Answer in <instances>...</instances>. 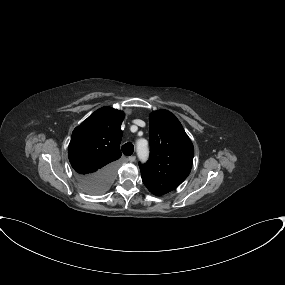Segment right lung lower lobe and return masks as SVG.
Here are the masks:
<instances>
[{"mask_svg":"<svg viewBox=\"0 0 285 285\" xmlns=\"http://www.w3.org/2000/svg\"><path fill=\"white\" fill-rule=\"evenodd\" d=\"M117 164L112 163L103 169L89 175H78L79 183L84 191L89 194H102L113 183Z\"/></svg>","mask_w":285,"mask_h":285,"instance_id":"obj_1","label":"right lung lower lobe"}]
</instances>
